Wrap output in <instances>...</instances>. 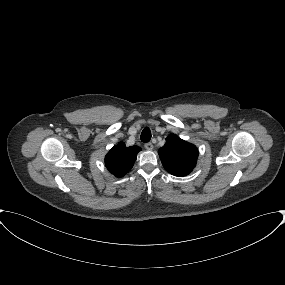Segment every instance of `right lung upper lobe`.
I'll return each instance as SVG.
<instances>
[{
    "label": "right lung upper lobe",
    "mask_w": 285,
    "mask_h": 285,
    "mask_svg": "<svg viewBox=\"0 0 285 285\" xmlns=\"http://www.w3.org/2000/svg\"><path fill=\"white\" fill-rule=\"evenodd\" d=\"M140 150L138 146L126 147L123 142H120L105 156V166L116 177H122L133 167Z\"/></svg>",
    "instance_id": "obj_1"
}]
</instances>
